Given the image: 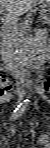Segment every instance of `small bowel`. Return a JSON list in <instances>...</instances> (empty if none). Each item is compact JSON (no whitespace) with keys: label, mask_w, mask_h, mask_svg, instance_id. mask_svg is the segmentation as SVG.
<instances>
[{"label":"small bowel","mask_w":50,"mask_h":148,"mask_svg":"<svg viewBox=\"0 0 50 148\" xmlns=\"http://www.w3.org/2000/svg\"><path fill=\"white\" fill-rule=\"evenodd\" d=\"M39 144L41 147L50 148L48 136H46V135L41 136L39 139Z\"/></svg>","instance_id":"small-bowel-1"}]
</instances>
